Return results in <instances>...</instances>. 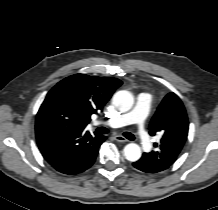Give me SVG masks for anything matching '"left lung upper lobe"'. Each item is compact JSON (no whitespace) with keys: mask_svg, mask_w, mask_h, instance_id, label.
<instances>
[{"mask_svg":"<svg viewBox=\"0 0 218 210\" xmlns=\"http://www.w3.org/2000/svg\"><path fill=\"white\" fill-rule=\"evenodd\" d=\"M188 118L183 103L173 92L166 95L150 123V134L162 135L157 150L158 158L170 157L174 161L180 154L188 135Z\"/></svg>","mask_w":218,"mask_h":210,"instance_id":"5c2ea615","label":"left lung upper lobe"}]
</instances>
